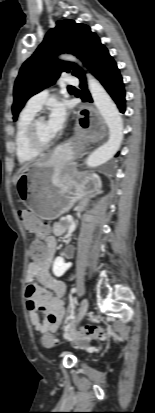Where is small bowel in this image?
Masks as SVG:
<instances>
[{
  "label": "small bowel",
  "mask_w": 155,
  "mask_h": 413,
  "mask_svg": "<svg viewBox=\"0 0 155 413\" xmlns=\"http://www.w3.org/2000/svg\"><path fill=\"white\" fill-rule=\"evenodd\" d=\"M17 215L19 218H24L22 223L28 231H38L45 237L47 257L43 262L33 260L29 263L25 297L30 320L35 330L42 335L50 333L53 336L67 317L63 301L66 285L60 279L55 278L49 270L55 251V239L47 236L46 219L35 218L32 209H19ZM35 279L39 281V284L33 283ZM39 313L43 314V319L40 318Z\"/></svg>",
  "instance_id": "obj_1"
}]
</instances>
